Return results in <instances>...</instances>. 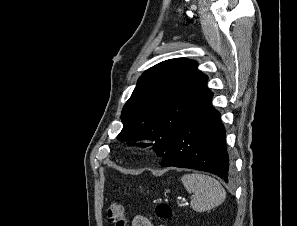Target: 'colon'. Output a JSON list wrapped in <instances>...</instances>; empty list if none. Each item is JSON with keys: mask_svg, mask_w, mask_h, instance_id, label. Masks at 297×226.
<instances>
[{"mask_svg": "<svg viewBox=\"0 0 297 226\" xmlns=\"http://www.w3.org/2000/svg\"><path fill=\"white\" fill-rule=\"evenodd\" d=\"M156 214L161 219H170L173 216V210L166 203H159L156 206ZM106 217L108 222L114 226H127L126 213L123 205L113 203L107 209Z\"/></svg>", "mask_w": 297, "mask_h": 226, "instance_id": "colon-1", "label": "colon"}]
</instances>
